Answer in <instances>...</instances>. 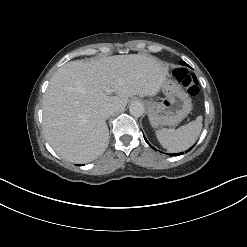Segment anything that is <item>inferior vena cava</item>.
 Masks as SVG:
<instances>
[{
  "label": "inferior vena cava",
  "mask_w": 247,
  "mask_h": 247,
  "mask_svg": "<svg viewBox=\"0 0 247 247\" xmlns=\"http://www.w3.org/2000/svg\"><path fill=\"white\" fill-rule=\"evenodd\" d=\"M117 110H116V108H114V107H105L103 110H102V112H101V114H102V116L105 118V119H107V118H109L114 112H116Z\"/></svg>",
  "instance_id": "obj_1"
}]
</instances>
